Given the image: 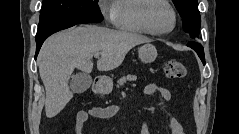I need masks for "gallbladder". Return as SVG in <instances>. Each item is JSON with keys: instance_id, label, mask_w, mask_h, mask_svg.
Segmentation results:
<instances>
[{"instance_id": "obj_1", "label": "gallbladder", "mask_w": 239, "mask_h": 134, "mask_svg": "<svg viewBox=\"0 0 239 134\" xmlns=\"http://www.w3.org/2000/svg\"><path fill=\"white\" fill-rule=\"evenodd\" d=\"M92 83V78L88 74L79 73L72 76L70 88L74 93H83Z\"/></svg>"}]
</instances>
